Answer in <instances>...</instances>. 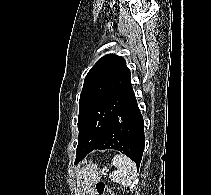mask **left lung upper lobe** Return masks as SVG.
<instances>
[{"instance_id": "left-lung-upper-lobe-1", "label": "left lung upper lobe", "mask_w": 211, "mask_h": 195, "mask_svg": "<svg viewBox=\"0 0 211 195\" xmlns=\"http://www.w3.org/2000/svg\"><path fill=\"white\" fill-rule=\"evenodd\" d=\"M134 97L124 58L109 54L98 60L88 72L80 95L76 160L93 150L107 124Z\"/></svg>"}]
</instances>
